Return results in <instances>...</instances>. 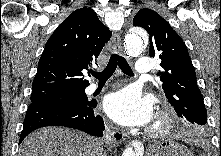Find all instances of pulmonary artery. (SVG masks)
Returning a JSON list of instances; mask_svg holds the SVG:
<instances>
[{"label":"pulmonary artery","mask_w":221,"mask_h":156,"mask_svg":"<svg viewBox=\"0 0 221 156\" xmlns=\"http://www.w3.org/2000/svg\"><path fill=\"white\" fill-rule=\"evenodd\" d=\"M135 70L139 75L149 74L152 70L150 59L145 57L139 58L135 66ZM97 88H98L97 84H92L89 87V91L94 92Z\"/></svg>","instance_id":"1"}]
</instances>
